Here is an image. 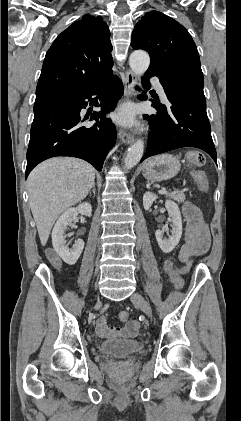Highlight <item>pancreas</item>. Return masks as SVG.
Here are the masks:
<instances>
[{"label": "pancreas", "mask_w": 241, "mask_h": 421, "mask_svg": "<svg viewBox=\"0 0 241 421\" xmlns=\"http://www.w3.org/2000/svg\"><path fill=\"white\" fill-rule=\"evenodd\" d=\"M167 197L172 198L173 200L182 203L185 201V195L183 193H178V192H169V193H165Z\"/></svg>", "instance_id": "cf45deb5"}]
</instances>
